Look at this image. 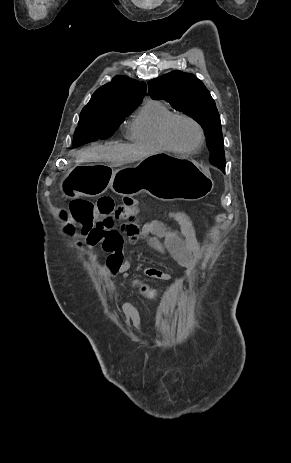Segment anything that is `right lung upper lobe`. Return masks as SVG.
<instances>
[{
  "mask_svg": "<svg viewBox=\"0 0 291 463\" xmlns=\"http://www.w3.org/2000/svg\"><path fill=\"white\" fill-rule=\"evenodd\" d=\"M146 92V84L126 76H116L112 82L98 88L83 109L102 106L128 107L139 104Z\"/></svg>",
  "mask_w": 291,
  "mask_h": 463,
  "instance_id": "right-lung-upper-lobe-1",
  "label": "right lung upper lobe"
}]
</instances>
